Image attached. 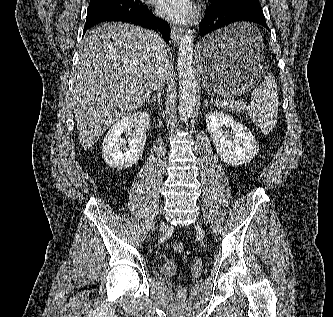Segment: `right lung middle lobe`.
<instances>
[{
    "mask_svg": "<svg viewBox=\"0 0 333 317\" xmlns=\"http://www.w3.org/2000/svg\"><path fill=\"white\" fill-rule=\"evenodd\" d=\"M141 5L135 0H90L87 13H93L104 10H121L138 9Z\"/></svg>",
    "mask_w": 333,
    "mask_h": 317,
    "instance_id": "right-lung-middle-lobe-1",
    "label": "right lung middle lobe"
}]
</instances>
